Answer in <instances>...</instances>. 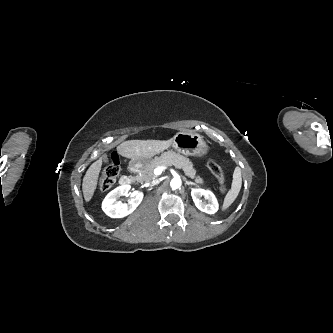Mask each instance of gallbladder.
<instances>
[{"label": "gallbladder", "instance_id": "gallbladder-1", "mask_svg": "<svg viewBox=\"0 0 333 333\" xmlns=\"http://www.w3.org/2000/svg\"><path fill=\"white\" fill-rule=\"evenodd\" d=\"M103 161L105 162V163H109V157L106 155V154H104V156H103Z\"/></svg>", "mask_w": 333, "mask_h": 333}]
</instances>
